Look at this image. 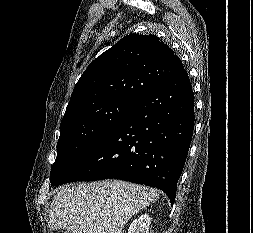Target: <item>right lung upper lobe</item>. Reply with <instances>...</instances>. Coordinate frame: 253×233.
Masks as SVG:
<instances>
[{"mask_svg":"<svg viewBox=\"0 0 253 233\" xmlns=\"http://www.w3.org/2000/svg\"><path fill=\"white\" fill-rule=\"evenodd\" d=\"M183 68L179 57L157 36H125L87 67L75 85L64 116L111 98L136 100Z\"/></svg>","mask_w":253,"mask_h":233,"instance_id":"right-lung-upper-lobe-1","label":"right lung upper lobe"}]
</instances>
